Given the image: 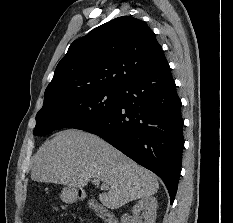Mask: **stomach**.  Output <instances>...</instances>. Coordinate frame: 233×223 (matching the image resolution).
<instances>
[{
  "instance_id": "obj_1",
  "label": "stomach",
  "mask_w": 233,
  "mask_h": 223,
  "mask_svg": "<svg viewBox=\"0 0 233 223\" xmlns=\"http://www.w3.org/2000/svg\"><path fill=\"white\" fill-rule=\"evenodd\" d=\"M59 195L65 203H73L78 199V189L76 187H64Z\"/></svg>"
}]
</instances>
